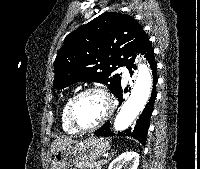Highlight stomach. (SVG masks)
<instances>
[{
	"mask_svg": "<svg viewBox=\"0 0 200 169\" xmlns=\"http://www.w3.org/2000/svg\"><path fill=\"white\" fill-rule=\"evenodd\" d=\"M109 141L105 138L91 137L75 145H66L51 153L50 169H72L78 163H91L109 150Z\"/></svg>",
	"mask_w": 200,
	"mask_h": 169,
	"instance_id": "0dacf381",
	"label": "stomach"
}]
</instances>
